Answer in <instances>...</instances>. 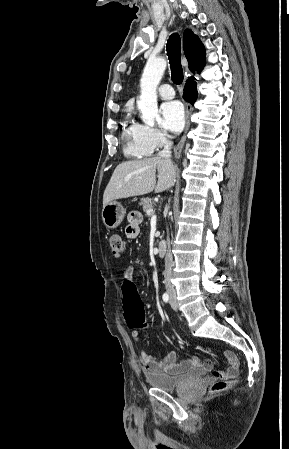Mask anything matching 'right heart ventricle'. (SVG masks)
I'll return each instance as SVG.
<instances>
[{
    "instance_id": "right-heart-ventricle-1",
    "label": "right heart ventricle",
    "mask_w": 289,
    "mask_h": 449,
    "mask_svg": "<svg viewBox=\"0 0 289 449\" xmlns=\"http://www.w3.org/2000/svg\"><path fill=\"white\" fill-rule=\"evenodd\" d=\"M124 153L134 158L148 156L152 151L141 138L140 124L128 118L123 130Z\"/></svg>"
}]
</instances>
